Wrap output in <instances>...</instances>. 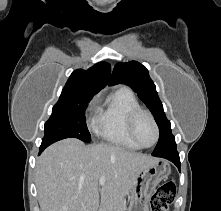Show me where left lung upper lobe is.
Returning <instances> with one entry per match:
<instances>
[{
  "label": "left lung upper lobe",
  "instance_id": "obj_1",
  "mask_svg": "<svg viewBox=\"0 0 221 211\" xmlns=\"http://www.w3.org/2000/svg\"><path fill=\"white\" fill-rule=\"evenodd\" d=\"M118 83L130 86L155 118L160 136L152 155L160 157L164 154L177 152L175 137L171 133L170 121L165 116L162 102L158 97L155 84L151 80L148 70L136 61L119 63L115 66L111 76V84Z\"/></svg>",
  "mask_w": 221,
  "mask_h": 211
}]
</instances>
